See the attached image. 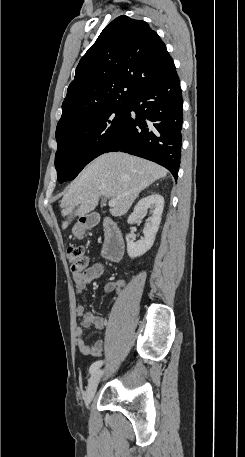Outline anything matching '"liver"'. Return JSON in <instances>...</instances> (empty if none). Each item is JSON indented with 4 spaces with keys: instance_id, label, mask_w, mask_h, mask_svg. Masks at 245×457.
Returning a JSON list of instances; mask_svg holds the SVG:
<instances>
[{
    "instance_id": "obj_1",
    "label": "liver",
    "mask_w": 245,
    "mask_h": 457,
    "mask_svg": "<svg viewBox=\"0 0 245 457\" xmlns=\"http://www.w3.org/2000/svg\"><path fill=\"white\" fill-rule=\"evenodd\" d=\"M167 172V168L155 162L126 152L101 154L87 164L79 176L67 186L61 200L62 216L72 214L78 204L80 206L75 210V214L85 216L97 206L99 196L118 198V204L110 208V212L113 216H122L141 190L157 178L166 176ZM68 224V220H64L62 229H67Z\"/></svg>"
}]
</instances>
